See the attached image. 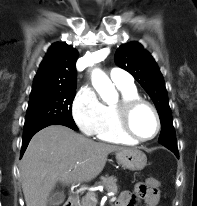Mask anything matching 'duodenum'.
Masks as SVG:
<instances>
[{
    "label": "duodenum",
    "mask_w": 197,
    "mask_h": 206,
    "mask_svg": "<svg viewBox=\"0 0 197 206\" xmlns=\"http://www.w3.org/2000/svg\"><path fill=\"white\" fill-rule=\"evenodd\" d=\"M76 202L75 197H69L64 206H76Z\"/></svg>",
    "instance_id": "410a0bca"
}]
</instances>
